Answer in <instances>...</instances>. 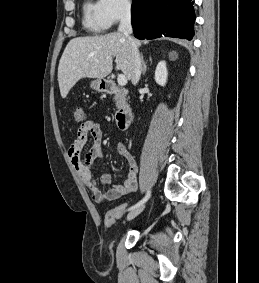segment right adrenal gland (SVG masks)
Returning a JSON list of instances; mask_svg holds the SVG:
<instances>
[{
	"label": "right adrenal gland",
	"instance_id": "2a0ac1e0",
	"mask_svg": "<svg viewBox=\"0 0 259 283\" xmlns=\"http://www.w3.org/2000/svg\"><path fill=\"white\" fill-rule=\"evenodd\" d=\"M151 60V59H150ZM141 63H142V75H145L146 70H147V64L144 61V56L141 54Z\"/></svg>",
	"mask_w": 259,
	"mask_h": 283
}]
</instances>
